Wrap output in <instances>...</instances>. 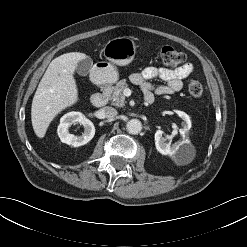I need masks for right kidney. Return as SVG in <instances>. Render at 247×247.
Here are the masks:
<instances>
[{
  "label": "right kidney",
  "instance_id": "1",
  "mask_svg": "<svg viewBox=\"0 0 247 247\" xmlns=\"http://www.w3.org/2000/svg\"><path fill=\"white\" fill-rule=\"evenodd\" d=\"M77 122L84 126V132L81 136H75L68 131V128ZM57 132L63 143L79 147L87 144L94 137L95 127L89 119L84 118L81 112H69L60 119Z\"/></svg>",
  "mask_w": 247,
  "mask_h": 247
}]
</instances>
